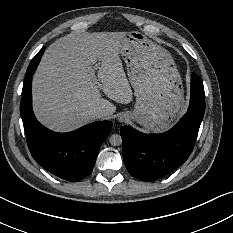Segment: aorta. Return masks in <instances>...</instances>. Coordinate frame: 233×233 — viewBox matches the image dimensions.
Segmentation results:
<instances>
[{
	"label": "aorta",
	"mask_w": 233,
	"mask_h": 233,
	"mask_svg": "<svg viewBox=\"0 0 233 233\" xmlns=\"http://www.w3.org/2000/svg\"><path fill=\"white\" fill-rule=\"evenodd\" d=\"M109 142L112 146H119L122 144V138L118 134H113L110 136Z\"/></svg>",
	"instance_id": "762f6f07"
}]
</instances>
